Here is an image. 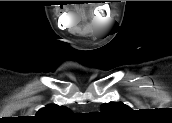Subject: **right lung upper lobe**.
I'll use <instances>...</instances> for the list:
<instances>
[{
  "mask_svg": "<svg viewBox=\"0 0 172 123\" xmlns=\"http://www.w3.org/2000/svg\"><path fill=\"white\" fill-rule=\"evenodd\" d=\"M69 113H71L69 108L50 104L40 109L35 115V118L42 121H54L69 115Z\"/></svg>",
  "mask_w": 172,
  "mask_h": 123,
  "instance_id": "right-lung-upper-lobe-1",
  "label": "right lung upper lobe"
}]
</instances>
